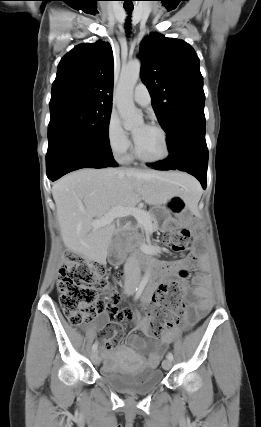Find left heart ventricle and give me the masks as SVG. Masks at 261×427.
Instances as JSON below:
<instances>
[{
  "instance_id": "left-heart-ventricle-1",
  "label": "left heart ventricle",
  "mask_w": 261,
  "mask_h": 427,
  "mask_svg": "<svg viewBox=\"0 0 261 427\" xmlns=\"http://www.w3.org/2000/svg\"><path fill=\"white\" fill-rule=\"evenodd\" d=\"M133 134L138 136L135 144L141 156L154 159L164 154L163 138L154 128L138 125L133 129Z\"/></svg>"
}]
</instances>
